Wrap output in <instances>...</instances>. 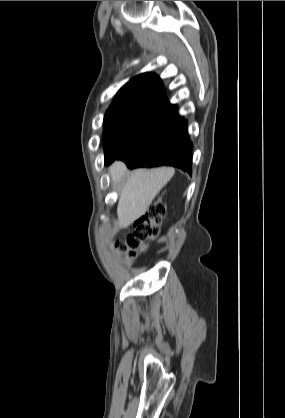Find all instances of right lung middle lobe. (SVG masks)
Segmentation results:
<instances>
[{"label": "right lung middle lobe", "mask_w": 285, "mask_h": 418, "mask_svg": "<svg viewBox=\"0 0 285 418\" xmlns=\"http://www.w3.org/2000/svg\"><path fill=\"white\" fill-rule=\"evenodd\" d=\"M174 112L173 109L140 103L110 106L103 123L105 159L119 156L132 148L167 121Z\"/></svg>", "instance_id": "dd1d6c3e"}]
</instances>
